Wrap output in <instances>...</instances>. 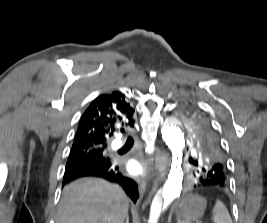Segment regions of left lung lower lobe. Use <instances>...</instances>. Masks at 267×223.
<instances>
[{"mask_svg":"<svg viewBox=\"0 0 267 223\" xmlns=\"http://www.w3.org/2000/svg\"><path fill=\"white\" fill-rule=\"evenodd\" d=\"M191 176L184 177V182H191V191L197 194L225 195L227 187L234 186L228 171H191Z\"/></svg>","mask_w":267,"mask_h":223,"instance_id":"obj_1","label":"left lung lower lobe"}]
</instances>
